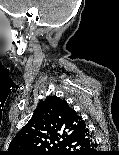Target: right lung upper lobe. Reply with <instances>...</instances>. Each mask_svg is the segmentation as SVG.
<instances>
[{"instance_id":"right-lung-upper-lobe-1","label":"right lung upper lobe","mask_w":119,"mask_h":155,"mask_svg":"<svg viewBox=\"0 0 119 155\" xmlns=\"http://www.w3.org/2000/svg\"><path fill=\"white\" fill-rule=\"evenodd\" d=\"M85 127L82 118L65 100L49 96L13 138L5 155H57Z\"/></svg>"}]
</instances>
